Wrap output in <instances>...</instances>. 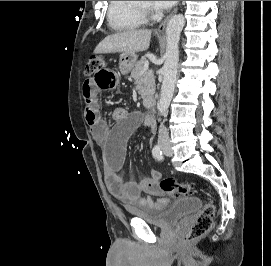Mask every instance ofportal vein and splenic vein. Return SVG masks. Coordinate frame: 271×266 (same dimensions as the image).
I'll return each instance as SVG.
<instances>
[{"mask_svg":"<svg viewBox=\"0 0 271 266\" xmlns=\"http://www.w3.org/2000/svg\"><path fill=\"white\" fill-rule=\"evenodd\" d=\"M148 68H149V62L147 61V62L144 63V68H143V70L141 71V74L144 73L145 71H147Z\"/></svg>","mask_w":271,"mask_h":266,"instance_id":"18ae733b","label":"portal vein and splenic vein"}]
</instances>
